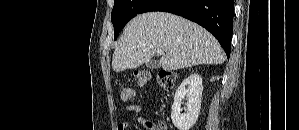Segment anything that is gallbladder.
I'll use <instances>...</instances> for the list:
<instances>
[{
    "mask_svg": "<svg viewBox=\"0 0 299 130\" xmlns=\"http://www.w3.org/2000/svg\"><path fill=\"white\" fill-rule=\"evenodd\" d=\"M145 66L150 69H158L160 67V64L156 60H150L145 63Z\"/></svg>",
    "mask_w": 299,
    "mask_h": 130,
    "instance_id": "obj_1",
    "label": "gallbladder"
}]
</instances>
